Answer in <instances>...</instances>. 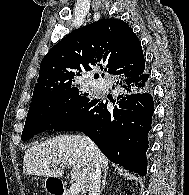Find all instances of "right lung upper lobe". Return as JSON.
<instances>
[{
    "label": "right lung upper lobe",
    "instance_id": "cb5924a9",
    "mask_svg": "<svg viewBox=\"0 0 189 195\" xmlns=\"http://www.w3.org/2000/svg\"><path fill=\"white\" fill-rule=\"evenodd\" d=\"M102 64L112 75L145 66L139 39L122 20L102 19L78 28L52 47L40 64L32 102L74 87L81 72Z\"/></svg>",
    "mask_w": 189,
    "mask_h": 195
}]
</instances>
